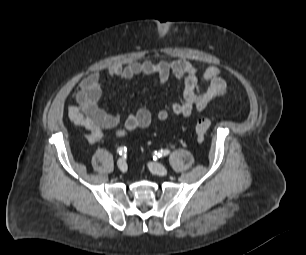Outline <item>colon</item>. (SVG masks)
Returning a JSON list of instances; mask_svg holds the SVG:
<instances>
[{"label": "colon", "mask_w": 306, "mask_h": 255, "mask_svg": "<svg viewBox=\"0 0 306 255\" xmlns=\"http://www.w3.org/2000/svg\"><path fill=\"white\" fill-rule=\"evenodd\" d=\"M211 127V121L207 118H199L194 126V132L198 139H203Z\"/></svg>", "instance_id": "obj_1"}]
</instances>
